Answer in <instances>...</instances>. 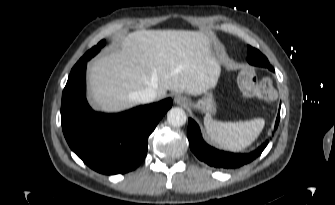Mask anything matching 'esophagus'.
Listing matches in <instances>:
<instances>
[{
  "label": "esophagus",
  "instance_id": "1",
  "mask_svg": "<svg viewBox=\"0 0 335 205\" xmlns=\"http://www.w3.org/2000/svg\"><path fill=\"white\" fill-rule=\"evenodd\" d=\"M175 103L179 104V105H185L187 104V99L183 96L177 95L174 98Z\"/></svg>",
  "mask_w": 335,
  "mask_h": 205
}]
</instances>
